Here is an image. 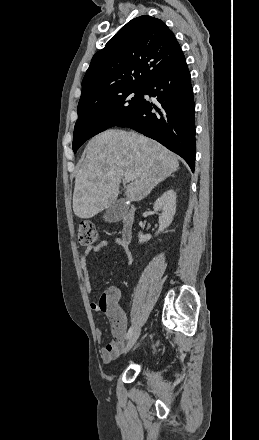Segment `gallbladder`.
Returning <instances> with one entry per match:
<instances>
[{
  "label": "gallbladder",
  "mask_w": 259,
  "mask_h": 440,
  "mask_svg": "<svg viewBox=\"0 0 259 440\" xmlns=\"http://www.w3.org/2000/svg\"><path fill=\"white\" fill-rule=\"evenodd\" d=\"M126 210L127 206L125 202L122 199L118 200L105 211L103 215V220L108 223L118 222L122 219V217L126 213Z\"/></svg>",
  "instance_id": "obj_1"
}]
</instances>
